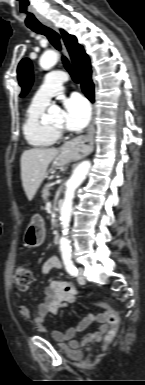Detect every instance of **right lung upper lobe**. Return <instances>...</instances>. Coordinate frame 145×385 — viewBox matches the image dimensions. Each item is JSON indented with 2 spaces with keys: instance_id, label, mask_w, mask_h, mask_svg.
Instances as JSON below:
<instances>
[{
  "instance_id": "1",
  "label": "right lung upper lobe",
  "mask_w": 145,
  "mask_h": 385,
  "mask_svg": "<svg viewBox=\"0 0 145 385\" xmlns=\"http://www.w3.org/2000/svg\"><path fill=\"white\" fill-rule=\"evenodd\" d=\"M61 34L68 52L71 56L73 65L77 71H80L84 66L90 65L89 58L85 53L83 47L78 44L77 39L73 35H69L64 30H61Z\"/></svg>"
}]
</instances>
